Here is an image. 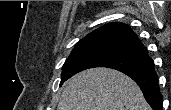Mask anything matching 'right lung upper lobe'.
<instances>
[{
	"label": "right lung upper lobe",
	"instance_id": "right-lung-upper-lobe-1",
	"mask_svg": "<svg viewBox=\"0 0 171 110\" xmlns=\"http://www.w3.org/2000/svg\"><path fill=\"white\" fill-rule=\"evenodd\" d=\"M88 43H104L133 49L148 56L146 47L130 27L123 23H109L81 39L75 46Z\"/></svg>",
	"mask_w": 171,
	"mask_h": 110
}]
</instances>
